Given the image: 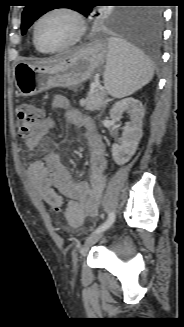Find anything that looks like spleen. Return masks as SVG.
Here are the masks:
<instances>
[{
    "instance_id": "spleen-1",
    "label": "spleen",
    "mask_w": 184,
    "mask_h": 327,
    "mask_svg": "<svg viewBox=\"0 0 184 327\" xmlns=\"http://www.w3.org/2000/svg\"><path fill=\"white\" fill-rule=\"evenodd\" d=\"M153 75L150 60L139 49L117 37L108 39L104 85L109 95H131L149 83Z\"/></svg>"
}]
</instances>
